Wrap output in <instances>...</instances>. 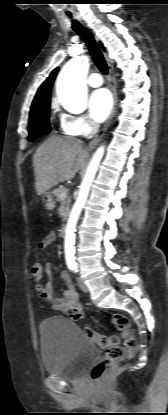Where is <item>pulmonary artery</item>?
Returning a JSON list of instances; mask_svg holds the SVG:
<instances>
[{
	"instance_id": "obj_1",
	"label": "pulmonary artery",
	"mask_w": 168,
	"mask_h": 415,
	"mask_svg": "<svg viewBox=\"0 0 168 415\" xmlns=\"http://www.w3.org/2000/svg\"><path fill=\"white\" fill-rule=\"evenodd\" d=\"M87 83H88L89 86L96 88V87H99L103 84V80H102V77L100 76V74L92 73L88 77Z\"/></svg>"
}]
</instances>
